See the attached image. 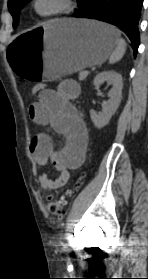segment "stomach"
I'll return each mask as SVG.
<instances>
[{
	"instance_id": "obj_1",
	"label": "stomach",
	"mask_w": 148,
	"mask_h": 279,
	"mask_svg": "<svg viewBox=\"0 0 148 279\" xmlns=\"http://www.w3.org/2000/svg\"><path fill=\"white\" fill-rule=\"evenodd\" d=\"M118 38V30L105 23L58 19L18 34L7 46V59L16 82H55L104 63Z\"/></svg>"
}]
</instances>
